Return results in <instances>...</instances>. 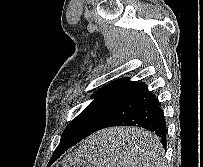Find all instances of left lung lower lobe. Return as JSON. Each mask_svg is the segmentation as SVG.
Instances as JSON below:
<instances>
[{
    "label": "left lung lower lobe",
    "mask_w": 203,
    "mask_h": 167,
    "mask_svg": "<svg viewBox=\"0 0 203 167\" xmlns=\"http://www.w3.org/2000/svg\"><path fill=\"white\" fill-rule=\"evenodd\" d=\"M113 126H136L145 128L154 132L160 139L163 147H166L167 126L163 110L159 106L158 99L154 94L148 91L145 83L133 82L108 116L92 133ZM89 135L75 134L61 139L52 157L56 160L67 149L76 145ZM137 146L138 150L143 148L140 146V143Z\"/></svg>",
    "instance_id": "0a47b994"
}]
</instances>
